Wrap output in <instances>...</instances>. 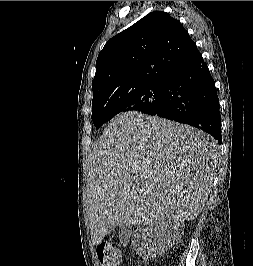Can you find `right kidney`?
<instances>
[{
    "mask_svg": "<svg viewBox=\"0 0 253 266\" xmlns=\"http://www.w3.org/2000/svg\"><path fill=\"white\" fill-rule=\"evenodd\" d=\"M181 220L163 219L141 224L132 234V245L144 259L161 256L183 235Z\"/></svg>",
    "mask_w": 253,
    "mask_h": 266,
    "instance_id": "ca27d5eb",
    "label": "right kidney"
}]
</instances>
